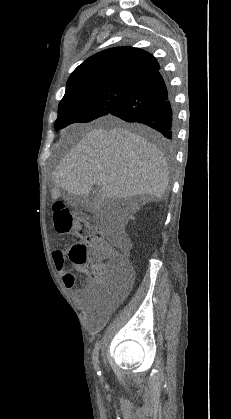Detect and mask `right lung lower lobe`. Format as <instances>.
I'll list each match as a JSON object with an SVG mask.
<instances>
[{"mask_svg":"<svg viewBox=\"0 0 231 419\" xmlns=\"http://www.w3.org/2000/svg\"><path fill=\"white\" fill-rule=\"evenodd\" d=\"M159 69L137 81L128 96L109 115L128 122L146 124L159 131L167 140L174 141L176 137L174 97Z\"/></svg>","mask_w":231,"mask_h":419,"instance_id":"1","label":"right lung lower lobe"}]
</instances>
